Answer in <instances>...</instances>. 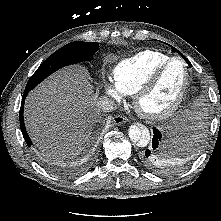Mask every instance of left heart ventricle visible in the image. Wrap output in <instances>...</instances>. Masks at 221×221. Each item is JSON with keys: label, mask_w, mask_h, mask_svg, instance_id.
Returning <instances> with one entry per match:
<instances>
[{"label": "left heart ventricle", "mask_w": 221, "mask_h": 221, "mask_svg": "<svg viewBox=\"0 0 221 221\" xmlns=\"http://www.w3.org/2000/svg\"><path fill=\"white\" fill-rule=\"evenodd\" d=\"M185 80L181 62H173L161 77L154 90L146 96L141 106L146 111H159L169 106L180 93Z\"/></svg>", "instance_id": "obj_1"}]
</instances>
